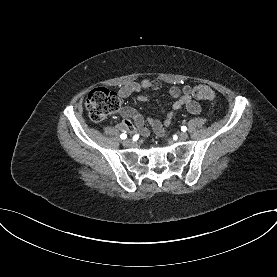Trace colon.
I'll use <instances>...</instances> for the list:
<instances>
[{
  "mask_svg": "<svg viewBox=\"0 0 277 277\" xmlns=\"http://www.w3.org/2000/svg\"><path fill=\"white\" fill-rule=\"evenodd\" d=\"M193 95L202 100H213L215 98L213 90L205 85L195 87ZM85 104L90 118L99 122L119 109L120 100L117 93L101 87L89 92Z\"/></svg>",
  "mask_w": 277,
  "mask_h": 277,
  "instance_id": "obj_1",
  "label": "colon"
}]
</instances>
